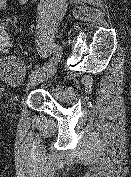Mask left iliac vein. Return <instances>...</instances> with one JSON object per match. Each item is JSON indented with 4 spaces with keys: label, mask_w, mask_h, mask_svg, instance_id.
Instances as JSON below:
<instances>
[{
    "label": "left iliac vein",
    "mask_w": 131,
    "mask_h": 177,
    "mask_svg": "<svg viewBox=\"0 0 131 177\" xmlns=\"http://www.w3.org/2000/svg\"><path fill=\"white\" fill-rule=\"evenodd\" d=\"M60 55H61V47L59 45H56L55 46V54L52 57L53 65L48 66L47 70H45L37 75L32 76L27 84V89L38 85L39 83L49 79L50 77H52L54 75L56 68H57V64L60 59Z\"/></svg>",
    "instance_id": "4c4485c4"
}]
</instances>
